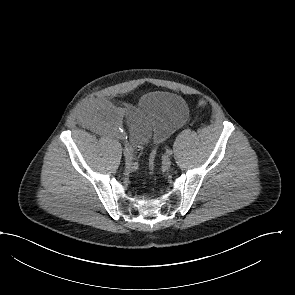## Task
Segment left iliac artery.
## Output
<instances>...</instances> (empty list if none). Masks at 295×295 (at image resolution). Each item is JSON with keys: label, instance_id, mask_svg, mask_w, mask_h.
<instances>
[{"label": "left iliac artery", "instance_id": "left-iliac-artery-1", "mask_svg": "<svg viewBox=\"0 0 295 295\" xmlns=\"http://www.w3.org/2000/svg\"><path fill=\"white\" fill-rule=\"evenodd\" d=\"M166 154H167L168 156H170V155L173 154V151H172L171 149H167Z\"/></svg>", "mask_w": 295, "mask_h": 295}]
</instances>
